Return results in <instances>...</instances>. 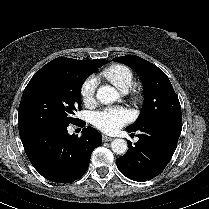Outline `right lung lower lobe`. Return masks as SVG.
<instances>
[{
    "label": "right lung lower lobe",
    "instance_id": "98d812e1",
    "mask_svg": "<svg viewBox=\"0 0 209 209\" xmlns=\"http://www.w3.org/2000/svg\"><path fill=\"white\" fill-rule=\"evenodd\" d=\"M77 125L85 126L79 120ZM102 135L88 126L82 136L69 135L67 127L36 134L23 140V146L34 168L46 179L69 183L88 169L92 151L101 145Z\"/></svg>",
    "mask_w": 209,
    "mask_h": 209
}]
</instances>
